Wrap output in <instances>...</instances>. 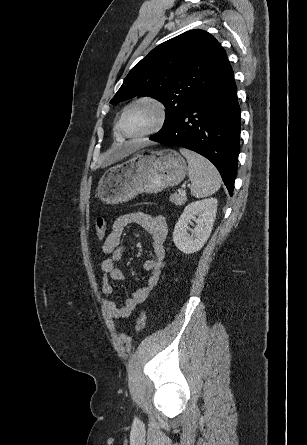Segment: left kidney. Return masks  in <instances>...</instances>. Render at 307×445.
Segmentation results:
<instances>
[{
	"mask_svg": "<svg viewBox=\"0 0 307 445\" xmlns=\"http://www.w3.org/2000/svg\"><path fill=\"white\" fill-rule=\"evenodd\" d=\"M217 202V198H203V200H195V202H190L185 206L173 233V241L179 251L191 255V253H196V251L202 249L212 231L216 218ZM192 220H195L197 225L192 231V235H189L187 233V231H190L188 225H191Z\"/></svg>",
	"mask_w": 307,
	"mask_h": 445,
	"instance_id": "1",
	"label": "left kidney"
}]
</instances>
